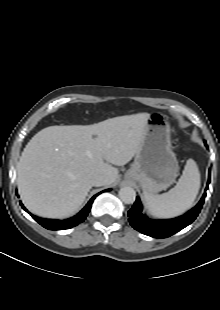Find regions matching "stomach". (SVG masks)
I'll return each instance as SVG.
<instances>
[{
    "mask_svg": "<svg viewBox=\"0 0 220 310\" xmlns=\"http://www.w3.org/2000/svg\"><path fill=\"white\" fill-rule=\"evenodd\" d=\"M170 132L165 114L150 115L141 147L125 180L138 182L142 190L150 194L166 190L175 182L178 162L171 148Z\"/></svg>",
    "mask_w": 220,
    "mask_h": 310,
    "instance_id": "1",
    "label": "stomach"
}]
</instances>
